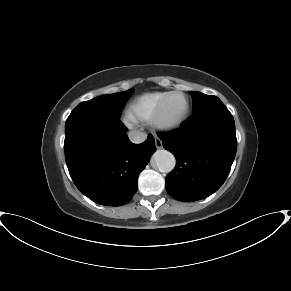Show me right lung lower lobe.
I'll use <instances>...</instances> for the list:
<instances>
[{
  "mask_svg": "<svg viewBox=\"0 0 291 291\" xmlns=\"http://www.w3.org/2000/svg\"><path fill=\"white\" fill-rule=\"evenodd\" d=\"M119 118L91 112L71 113L65 123L64 151L76 187L106 206L128 203L138 189V176L155 152L148 136L133 144Z\"/></svg>",
  "mask_w": 291,
  "mask_h": 291,
  "instance_id": "98d812e1",
  "label": "right lung lower lobe"
}]
</instances>
